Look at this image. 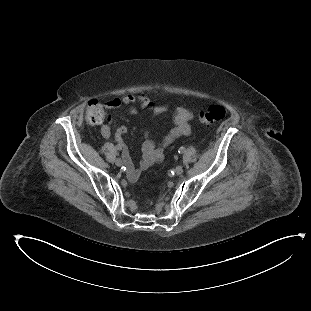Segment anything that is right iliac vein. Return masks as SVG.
<instances>
[{"label":"right iliac vein","mask_w":311,"mask_h":311,"mask_svg":"<svg viewBox=\"0 0 311 311\" xmlns=\"http://www.w3.org/2000/svg\"><path fill=\"white\" fill-rule=\"evenodd\" d=\"M115 164H116L117 166H121V165H122V160L119 159V158L116 159Z\"/></svg>","instance_id":"right-iliac-vein-1"}]
</instances>
